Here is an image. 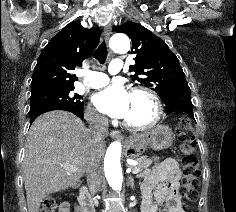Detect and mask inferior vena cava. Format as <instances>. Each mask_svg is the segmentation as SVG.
<instances>
[{
    "mask_svg": "<svg viewBox=\"0 0 236 212\" xmlns=\"http://www.w3.org/2000/svg\"><path fill=\"white\" fill-rule=\"evenodd\" d=\"M108 119L101 115H92L90 118V132L92 135V143L95 146V152L93 153L89 165L86 169L87 183L89 185L90 192L95 195L97 190L101 186L102 175L100 162L97 157V147L108 136Z\"/></svg>",
    "mask_w": 236,
    "mask_h": 212,
    "instance_id": "inferior-vena-cava-1",
    "label": "inferior vena cava"
}]
</instances>
